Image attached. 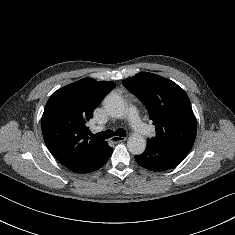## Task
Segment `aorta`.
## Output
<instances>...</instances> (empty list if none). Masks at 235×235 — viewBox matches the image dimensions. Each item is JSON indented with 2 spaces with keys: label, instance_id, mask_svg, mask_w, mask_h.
<instances>
[{
  "label": "aorta",
  "instance_id": "obj_1",
  "mask_svg": "<svg viewBox=\"0 0 235 235\" xmlns=\"http://www.w3.org/2000/svg\"><path fill=\"white\" fill-rule=\"evenodd\" d=\"M106 112L114 118H121L125 113V103L121 96L109 94L103 100ZM128 150L134 155H140L146 148L145 138L137 133L132 134L127 142Z\"/></svg>",
  "mask_w": 235,
  "mask_h": 235
}]
</instances>
